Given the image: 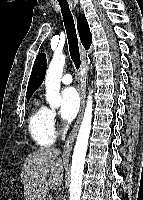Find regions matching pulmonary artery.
<instances>
[{"label": "pulmonary artery", "instance_id": "1", "mask_svg": "<svg viewBox=\"0 0 143 200\" xmlns=\"http://www.w3.org/2000/svg\"><path fill=\"white\" fill-rule=\"evenodd\" d=\"M72 81H73V78H72V76L70 74H65L61 78V82L63 84H71Z\"/></svg>", "mask_w": 143, "mask_h": 200}]
</instances>
